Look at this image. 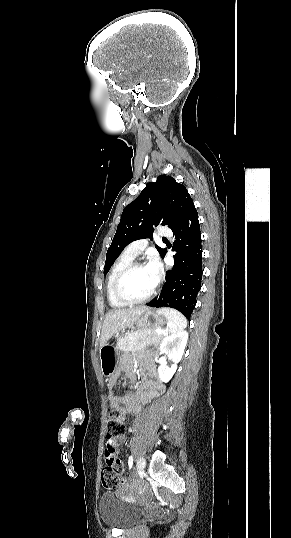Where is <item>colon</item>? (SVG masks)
Wrapping results in <instances>:
<instances>
[{"label":"colon","mask_w":291,"mask_h":538,"mask_svg":"<svg viewBox=\"0 0 291 538\" xmlns=\"http://www.w3.org/2000/svg\"><path fill=\"white\" fill-rule=\"evenodd\" d=\"M123 415L112 409L108 418L107 442L105 449L106 467L102 470L101 481L105 488H114L125 483L122 478L123 466L116 457V441L124 432Z\"/></svg>","instance_id":"1"}]
</instances>
